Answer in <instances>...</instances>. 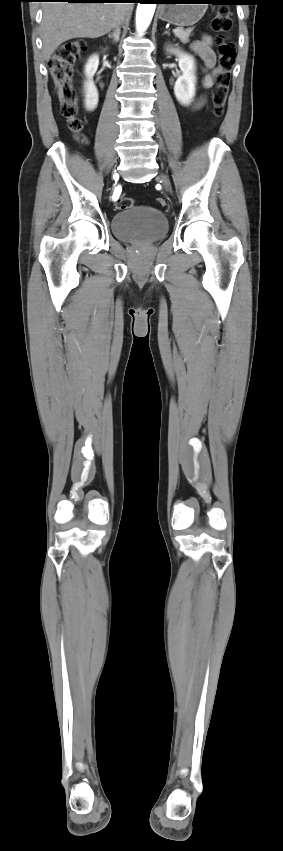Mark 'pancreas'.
<instances>
[{"instance_id": "pancreas-1", "label": "pancreas", "mask_w": 283, "mask_h": 851, "mask_svg": "<svg viewBox=\"0 0 283 851\" xmlns=\"http://www.w3.org/2000/svg\"><path fill=\"white\" fill-rule=\"evenodd\" d=\"M177 29H178V31L174 32L175 36L177 38H179L181 42L188 43L190 41L189 37H190L193 29L192 28L183 29L182 27H178Z\"/></svg>"}]
</instances>
